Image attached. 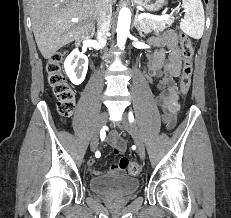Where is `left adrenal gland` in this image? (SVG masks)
Masks as SVG:
<instances>
[{
    "mask_svg": "<svg viewBox=\"0 0 231 218\" xmlns=\"http://www.w3.org/2000/svg\"><path fill=\"white\" fill-rule=\"evenodd\" d=\"M137 15H138V12L136 13V17H135V20H134V26L136 27V29H137L139 35L142 37V36H143V33H142V30H141V28H140V26H139V23H138V21H137Z\"/></svg>",
    "mask_w": 231,
    "mask_h": 218,
    "instance_id": "obj_1",
    "label": "left adrenal gland"
}]
</instances>
